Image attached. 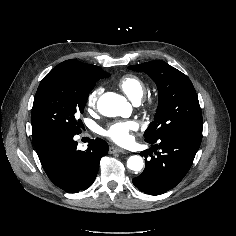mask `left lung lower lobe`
Returning a JSON list of instances; mask_svg holds the SVG:
<instances>
[{
	"label": "left lung lower lobe",
	"mask_w": 236,
	"mask_h": 236,
	"mask_svg": "<svg viewBox=\"0 0 236 236\" xmlns=\"http://www.w3.org/2000/svg\"><path fill=\"white\" fill-rule=\"evenodd\" d=\"M146 142L153 144L155 156L151 150L143 151L145 158L149 153L151 159L146 161L144 171L133 179V184L146 194L160 195L178 185L187 174L201 139L175 134Z\"/></svg>",
	"instance_id": "1"
}]
</instances>
